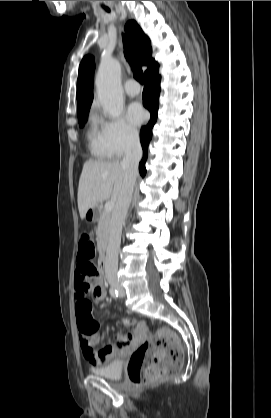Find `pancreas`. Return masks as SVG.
<instances>
[{
    "instance_id": "cf45deb5",
    "label": "pancreas",
    "mask_w": 271,
    "mask_h": 418,
    "mask_svg": "<svg viewBox=\"0 0 271 418\" xmlns=\"http://www.w3.org/2000/svg\"><path fill=\"white\" fill-rule=\"evenodd\" d=\"M111 215L109 212L105 211V209L100 208V217L98 220V226L96 230L97 235V243L101 250L105 249L109 237H110V229H111Z\"/></svg>"
}]
</instances>
